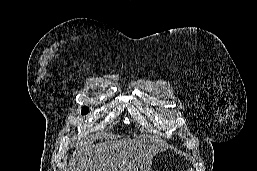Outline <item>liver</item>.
<instances>
[{
	"mask_svg": "<svg viewBox=\"0 0 257 171\" xmlns=\"http://www.w3.org/2000/svg\"><path fill=\"white\" fill-rule=\"evenodd\" d=\"M92 145L81 142L68 164V171H150L152 158L159 150L145 138L110 140Z\"/></svg>",
	"mask_w": 257,
	"mask_h": 171,
	"instance_id": "obj_1",
	"label": "liver"
}]
</instances>
